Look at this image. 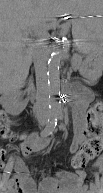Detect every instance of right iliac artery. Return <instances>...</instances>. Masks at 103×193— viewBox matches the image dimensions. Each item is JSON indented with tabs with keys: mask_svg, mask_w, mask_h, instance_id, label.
Masks as SVG:
<instances>
[{
	"mask_svg": "<svg viewBox=\"0 0 103 193\" xmlns=\"http://www.w3.org/2000/svg\"><path fill=\"white\" fill-rule=\"evenodd\" d=\"M56 125H57V115L55 113H52L48 124L41 132V136L46 137L50 135L55 129Z\"/></svg>",
	"mask_w": 103,
	"mask_h": 193,
	"instance_id": "1",
	"label": "right iliac artery"
}]
</instances>
